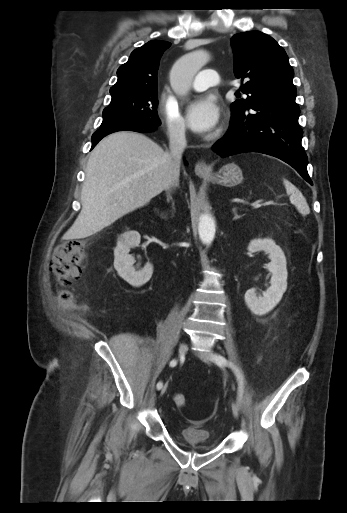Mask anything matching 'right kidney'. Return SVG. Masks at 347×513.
I'll return each mask as SVG.
<instances>
[{"label":"right kidney","instance_id":"1","mask_svg":"<svg viewBox=\"0 0 347 513\" xmlns=\"http://www.w3.org/2000/svg\"><path fill=\"white\" fill-rule=\"evenodd\" d=\"M141 236L137 231H129L122 234L114 249V268L118 275L132 286H141L152 276L153 266L146 264L144 268L136 271L133 264L134 259L129 254L132 247L138 246Z\"/></svg>","mask_w":347,"mask_h":513}]
</instances>
